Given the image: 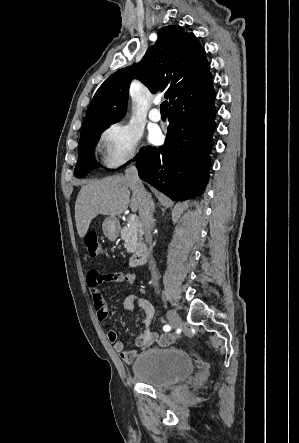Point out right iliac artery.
Here are the masks:
<instances>
[{"instance_id":"right-iliac-artery-1","label":"right iliac artery","mask_w":299,"mask_h":443,"mask_svg":"<svg viewBox=\"0 0 299 443\" xmlns=\"http://www.w3.org/2000/svg\"><path fill=\"white\" fill-rule=\"evenodd\" d=\"M170 329H171L170 325H165V326L163 327V330H164V331H169Z\"/></svg>"}]
</instances>
